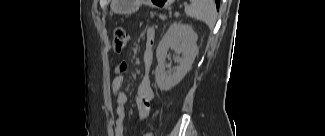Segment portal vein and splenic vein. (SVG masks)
<instances>
[{
    "label": "portal vein and splenic vein",
    "instance_id": "obj_1",
    "mask_svg": "<svg viewBox=\"0 0 325 136\" xmlns=\"http://www.w3.org/2000/svg\"><path fill=\"white\" fill-rule=\"evenodd\" d=\"M174 15H175V16H179V12H175Z\"/></svg>",
    "mask_w": 325,
    "mask_h": 136
}]
</instances>
